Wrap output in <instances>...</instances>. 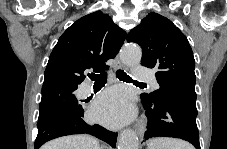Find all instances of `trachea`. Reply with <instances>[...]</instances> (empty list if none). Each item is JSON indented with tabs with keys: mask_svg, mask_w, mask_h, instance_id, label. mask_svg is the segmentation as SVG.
Returning <instances> with one entry per match:
<instances>
[{
	"mask_svg": "<svg viewBox=\"0 0 227 149\" xmlns=\"http://www.w3.org/2000/svg\"><path fill=\"white\" fill-rule=\"evenodd\" d=\"M116 76L119 80L122 81L142 83L132 80V78L121 69L116 71ZM89 78L94 81V84L104 85L107 82V72H102L100 74H90Z\"/></svg>",
	"mask_w": 227,
	"mask_h": 149,
	"instance_id": "1",
	"label": "trachea"
}]
</instances>
